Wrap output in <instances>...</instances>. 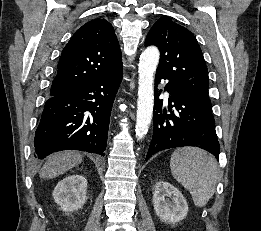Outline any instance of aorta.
Returning <instances> with one entry per match:
<instances>
[{"label":"aorta","mask_w":261,"mask_h":231,"mask_svg":"<svg viewBox=\"0 0 261 231\" xmlns=\"http://www.w3.org/2000/svg\"><path fill=\"white\" fill-rule=\"evenodd\" d=\"M160 53L157 47H148L140 56L138 73L139 87L135 132L141 140L148 132L154 105V73L159 63Z\"/></svg>","instance_id":"aorta-1"}]
</instances>
